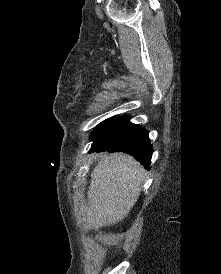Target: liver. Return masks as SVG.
Returning <instances> with one entry per match:
<instances>
[{"label":"liver","mask_w":221,"mask_h":274,"mask_svg":"<svg viewBox=\"0 0 221 274\" xmlns=\"http://www.w3.org/2000/svg\"><path fill=\"white\" fill-rule=\"evenodd\" d=\"M87 192L88 206L82 212L87 229L118 223L129 214L140 196L145 169L123 153L99 155Z\"/></svg>","instance_id":"liver-1"}]
</instances>
